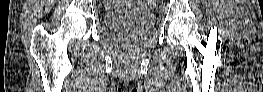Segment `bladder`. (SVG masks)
<instances>
[{"mask_svg": "<svg viewBox=\"0 0 263 92\" xmlns=\"http://www.w3.org/2000/svg\"><path fill=\"white\" fill-rule=\"evenodd\" d=\"M106 27L120 33L143 32L154 23L153 13L146 8L115 9L103 17Z\"/></svg>", "mask_w": 263, "mask_h": 92, "instance_id": "obj_1", "label": "bladder"}]
</instances>
